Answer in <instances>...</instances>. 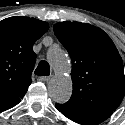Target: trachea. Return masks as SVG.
<instances>
[{"label": "trachea", "mask_w": 125, "mask_h": 125, "mask_svg": "<svg viewBox=\"0 0 125 125\" xmlns=\"http://www.w3.org/2000/svg\"><path fill=\"white\" fill-rule=\"evenodd\" d=\"M35 74L38 76H48L50 74V66L48 62L41 61L35 70Z\"/></svg>", "instance_id": "1"}]
</instances>
